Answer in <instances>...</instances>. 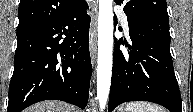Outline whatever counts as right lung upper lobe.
Instances as JSON below:
<instances>
[{"mask_svg": "<svg viewBox=\"0 0 193 112\" xmlns=\"http://www.w3.org/2000/svg\"><path fill=\"white\" fill-rule=\"evenodd\" d=\"M83 0H20L17 33L34 29L76 7Z\"/></svg>", "mask_w": 193, "mask_h": 112, "instance_id": "cb5924a9", "label": "right lung upper lobe"}]
</instances>
